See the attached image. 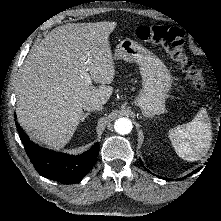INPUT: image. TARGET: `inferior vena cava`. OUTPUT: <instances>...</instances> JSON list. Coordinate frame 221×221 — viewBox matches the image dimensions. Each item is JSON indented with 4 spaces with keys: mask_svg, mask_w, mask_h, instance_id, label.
I'll return each mask as SVG.
<instances>
[{
    "mask_svg": "<svg viewBox=\"0 0 221 221\" xmlns=\"http://www.w3.org/2000/svg\"><path fill=\"white\" fill-rule=\"evenodd\" d=\"M83 108L87 111L102 110L103 103L98 100H89L83 105Z\"/></svg>",
    "mask_w": 221,
    "mask_h": 221,
    "instance_id": "1",
    "label": "inferior vena cava"
}]
</instances>
